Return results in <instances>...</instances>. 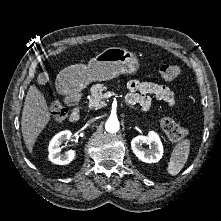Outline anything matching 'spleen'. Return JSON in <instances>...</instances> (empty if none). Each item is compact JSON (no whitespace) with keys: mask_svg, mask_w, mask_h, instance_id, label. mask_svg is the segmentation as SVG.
<instances>
[{"mask_svg":"<svg viewBox=\"0 0 221 221\" xmlns=\"http://www.w3.org/2000/svg\"><path fill=\"white\" fill-rule=\"evenodd\" d=\"M190 151V141L184 139L173 149L168 163L167 172L170 175H177L184 167Z\"/></svg>","mask_w":221,"mask_h":221,"instance_id":"spleen-1","label":"spleen"}]
</instances>
